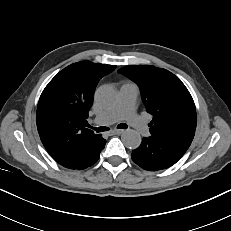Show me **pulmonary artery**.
Returning a JSON list of instances; mask_svg holds the SVG:
<instances>
[{"instance_id": "pulmonary-artery-1", "label": "pulmonary artery", "mask_w": 231, "mask_h": 231, "mask_svg": "<svg viewBox=\"0 0 231 231\" xmlns=\"http://www.w3.org/2000/svg\"><path fill=\"white\" fill-rule=\"evenodd\" d=\"M137 96L138 88L136 85L132 83L122 85L119 90V101L117 105L95 116L93 119L94 123L107 126L120 120H126L140 134L147 136L149 134V128L135 110Z\"/></svg>"}]
</instances>
